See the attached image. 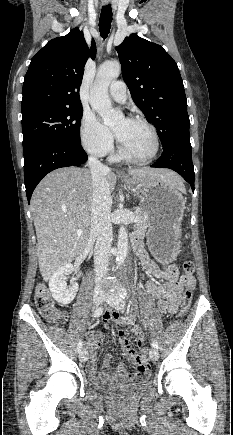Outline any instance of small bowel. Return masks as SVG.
<instances>
[{"mask_svg":"<svg viewBox=\"0 0 233 435\" xmlns=\"http://www.w3.org/2000/svg\"><path fill=\"white\" fill-rule=\"evenodd\" d=\"M138 246L137 255L143 270L148 276L147 290L158 301V312L160 314H176L180 305V292L182 284L179 282L181 278L180 271L177 266L170 265L161 270L156 262L150 259L147 252L143 249L139 242H135ZM158 279H162L163 283H158ZM193 288V286H192ZM103 317L105 320H113L120 327H130L135 334L137 345L142 347L145 343L144 330L134 323L135 314L120 315L115 310L105 311ZM90 340L87 343L88 348L91 350V356L88 361L87 369L89 376L95 382H101L103 376L113 375L116 378H126L128 380L137 377H143L147 372H129L123 364H118L115 369L112 367L113 357L106 355L102 362V371L97 369L96 356L94 351L105 341L106 335L103 333L90 332ZM119 342L122 346V351L127 360L136 365L138 356L133 352V349L126 337V332L123 329L118 330ZM145 352V351H144Z\"/></svg>","mask_w":233,"mask_h":435,"instance_id":"c3829d8e","label":"small bowel"}]
</instances>
